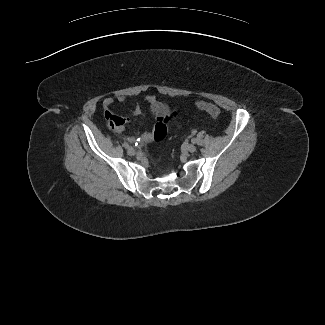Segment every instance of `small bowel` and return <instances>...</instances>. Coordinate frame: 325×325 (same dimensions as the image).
Here are the masks:
<instances>
[{"label": "small bowel", "instance_id": "c3829d8e", "mask_svg": "<svg viewBox=\"0 0 325 325\" xmlns=\"http://www.w3.org/2000/svg\"><path fill=\"white\" fill-rule=\"evenodd\" d=\"M116 100L119 103H125L128 101L125 96H118ZM146 101L149 105V110L153 116V126L151 131L145 132L142 135V139L146 142L155 139L157 141L162 140L167 132L166 124L169 120L170 107L156 100L152 96L146 97ZM115 100L112 97H107L103 100V107L105 110V117L108 120L110 127L118 133L124 131L125 124L130 121L128 117H118L111 112V108L114 105ZM133 115L141 113L140 106L137 102H133L132 112Z\"/></svg>", "mask_w": 325, "mask_h": 325}]
</instances>
